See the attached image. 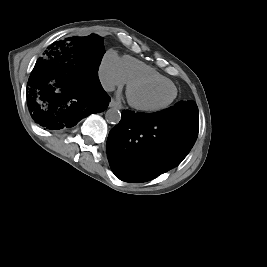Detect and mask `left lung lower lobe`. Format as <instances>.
I'll list each match as a JSON object with an SVG mask.
<instances>
[{"label": "left lung lower lobe", "mask_w": 267, "mask_h": 267, "mask_svg": "<svg viewBox=\"0 0 267 267\" xmlns=\"http://www.w3.org/2000/svg\"><path fill=\"white\" fill-rule=\"evenodd\" d=\"M199 114L187 109L155 113L124 110L107 139L113 173L126 182H146L179 165L193 147Z\"/></svg>", "instance_id": "obj_1"}]
</instances>
